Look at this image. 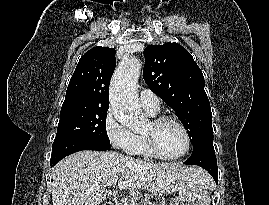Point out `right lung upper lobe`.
<instances>
[{"mask_svg": "<svg viewBox=\"0 0 269 205\" xmlns=\"http://www.w3.org/2000/svg\"><path fill=\"white\" fill-rule=\"evenodd\" d=\"M116 66L115 49L94 47L79 60L62 107L109 106V84Z\"/></svg>", "mask_w": 269, "mask_h": 205, "instance_id": "1", "label": "right lung upper lobe"}]
</instances>
